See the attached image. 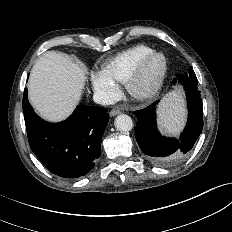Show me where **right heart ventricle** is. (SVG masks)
<instances>
[{
    "label": "right heart ventricle",
    "instance_id": "right-heart-ventricle-1",
    "mask_svg": "<svg viewBox=\"0 0 232 232\" xmlns=\"http://www.w3.org/2000/svg\"><path fill=\"white\" fill-rule=\"evenodd\" d=\"M153 51V48L143 44L130 47L106 60L102 72L114 82L125 83L137 63Z\"/></svg>",
    "mask_w": 232,
    "mask_h": 232
}]
</instances>
